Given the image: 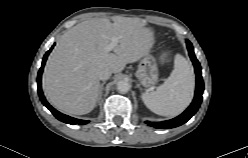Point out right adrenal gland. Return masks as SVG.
I'll use <instances>...</instances> for the list:
<instances>
[{"label": "right adrenal gland", "instance_id": "obj_1", "mask_svg": "<svg viewBox=\"0 0 248 158\" xmlns=\"http://www.w3.org/2000/svg\"><path fill=\"white\" fill-rule=\"evenodd\" d=\"M105 81L103 83L100 84V90H99V97H98V102L101 100L102 97V91H103V87H104Z\"/></svg>", "mask_w": 248, "mask_h": 158}]
</instances>
